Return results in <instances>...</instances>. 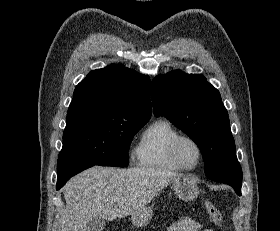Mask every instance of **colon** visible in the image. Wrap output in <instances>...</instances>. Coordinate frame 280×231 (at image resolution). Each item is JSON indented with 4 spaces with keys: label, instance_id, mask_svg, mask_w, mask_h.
I'll return each instance as SVG.
<instances>
[{
    "label": "colon",
    "instance_id": "obj_1",
    "mask_svg": "<svg viewBox=\"0 0 280 231\" xmlns=\"http://www.w3.org/2000/svg\"><path fill=\"white\" fill-rule=\"evenodd\" d=\"M205 207L210 217V220L217 226H222V214L220 210L211 202L206 201Z\"/></svg>",
    "mask_w": 280,
    "mask_h": 231
}]
</instances>
